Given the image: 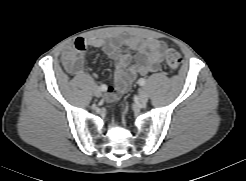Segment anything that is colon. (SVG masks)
I'll list each match as a JSON object with an SVG mask.
<instances>
[{"label":"colon","instance_id":"1","mask_svg":"<svg viewBox=\"0 0 246 181\" xmlns=\"http://www.w3.org/2000/svg\"><path fill=\"white\" fill-rule=\"evenodd\" d=\"M165 60H166L167 67L172 71L178 70L181 65L180 55L174 49L166 50Z\"/></svg>","mask_w":246,"mask_h":181}]
</instances>
